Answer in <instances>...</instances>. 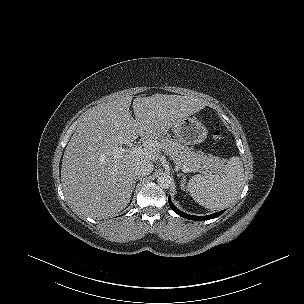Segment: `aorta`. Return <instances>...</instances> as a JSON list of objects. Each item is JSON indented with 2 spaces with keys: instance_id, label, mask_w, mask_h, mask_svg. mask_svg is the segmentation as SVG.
<instances>
[{
  "instance_id": "762f6f07",
  "label": "aorta",
  "mask_w": 304,
  "mask_h": 304,
  "mask_svg": "<svg viewBox=\"0 0 304 304\" xmlns=\"http://www.w3.org/2000/svg\"><path fill=\"white\" fill-rule=\"evenodd\" d=\"M158 185L162 188H169L172 183V178L167 173H160L157 179Z\"/></svg>"
}]
</instances>
